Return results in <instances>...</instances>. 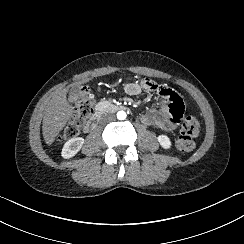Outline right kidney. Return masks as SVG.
Listing matches in <instances>:
<instances>
[{
  "label": "right kidney",
  "instance_id": "ca27d5eb",
  "mask_svg": "<svg viewBox=\"0 0 244 244\" xmlns=\"http://www.w3.org/2000/svg\"><path fill=\"white\" fill-rule=\"evenodd\" d=\"M83 143L84 139L82 137H76L68 140L63 146L61 153L62 157L69 159L75 156L82 148Z\"/></svg>",
  "mask_w": 244,
  "mask_h": 244
}]
</instances>
